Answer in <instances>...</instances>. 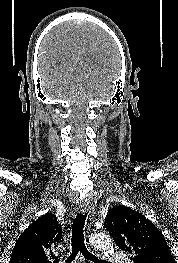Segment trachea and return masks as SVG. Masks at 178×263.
<instances>
[{
	"instance_id": "3493384b",
	"label": "trachea",
	"mask_w": 178,
	"mask_h": 263,
	"mask_svg": "<svg viewBox=\"0 0 178 263\" xmlns=\"http://www.w3.org/2000/svg\"><path fill=\"white\" fill-rule=\"evenodd\" d=\"M87 213L81 214L78 213L76 218L73 221L72 225V238H71V246H72V253L67 258L66 263H70L73 261L78 252L80 251L82 255L85 257L86 260H90L94 263H108L105 260L98 259L95 255L91 254L84 243V225L86 221ZM59 259H56L54 263H58Z\"/></svg>"
}]
</instances>
